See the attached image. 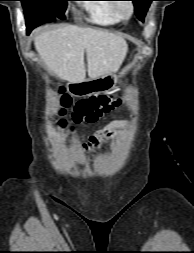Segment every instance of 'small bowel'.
I'll list each match as a JSON object with an SVG mask.
<instances>
[{
    "instance_id": "c3829d8e",
    "label": "small bowel",
    "mask_w": 194,
    "mask_h": 253,
    "mask_svg": "<svg viewBox=\"0 0 194 253\" xmlns=\"http://www.w3.org/2000/svg\"><path fill=\"white\" fill-rule=\"evenodd\" d=\"M129 126L126 120H113L103 130L97 131L90 137L89 141L83 145L88 152H93L97 148L103 146L109 138L112 137L116 130H120ZM92 158V155L90 156Z\"/></svg>"
}]
</instances>
